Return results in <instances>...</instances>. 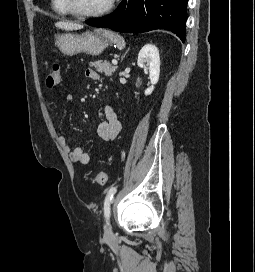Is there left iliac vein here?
<instances>
[{
	"label": "left iliac vein",
	"instance_id": "4c4485c4",
	"mask_svg": "<svg viewBox=\"0 0 255 272\" xmlns=\"http://www.w3.org/2000/svg\"><path fill=\"white\" fill-rule=\"evenodd\" d=\"M104 235L106 238H110L113 235L112 228L109 221H107V224L104 226Z\"/></svg>",
	"mask_w": 255,
	"mask_h": 272
}]
</instances>
